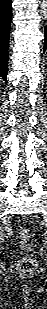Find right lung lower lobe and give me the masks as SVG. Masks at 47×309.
<instances>
[{
	"label": "right lung lower lobe",
	"mask_w": 47,
	"mask_h": 309,
	"mask_svg": "<svg viewBox=\"0 0 47 309\" xmlns=\"http://www.w3.org/2000/svg\"><path fill=\"white\" fill-rule=\"evenodd\" d=\"M12 15V1L0 0V76L7 83L8 44Z\"/></svg>",
	"instance_id": "obj_1"
}]
</instances>
